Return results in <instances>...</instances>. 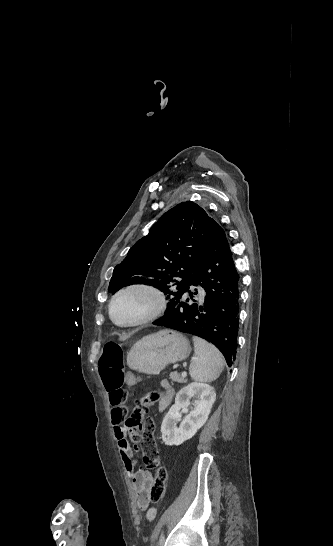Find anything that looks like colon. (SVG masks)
I'll list each match as a JSON object with an SVG mask.
<instances>
[{
    "mask_svg": "<svg viewBox=\"0 0 333 546\" xmlns=\"http://www.w3.org/2000/svg\"><path fill=\"white\" fill-rule=\"evenodd\" d=\"M98 369L105 389L108 392L122 391L125 382L123 369V349L115 342H108L98 359ZM167 393L153 391L145 399L137 401L131 415L125 421L126 432L135 451L141 452L147 469L155 470V480L150 487L149 502L162 499L168 477L167 469L161 463L158 445L155 439V422L148 416L149 405L160 401ZM121 398H115L114 402ZM123 399V398H122Z\"/></svg>",
    "mask_w": 333,
    "mask_h": 546,
    "instance_id": "5ec220e1",
    "label": "colon"
}]
</instances>
